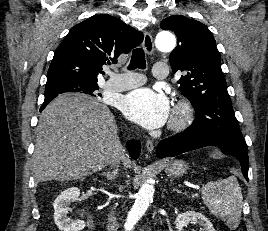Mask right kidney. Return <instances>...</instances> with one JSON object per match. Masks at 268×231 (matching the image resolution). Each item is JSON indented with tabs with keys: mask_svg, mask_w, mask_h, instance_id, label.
Listing matches in <instances>:
<instances>
[{
	"mask_svg": "<svg viewBox=\"0 0 268 231\" xmlns=\"http://www.w3.org/2000/svg\"><path fill=\"white\" fill-rule=\"evenodd\" d=\"M80 195V189L71 187L63 192L54 201V221L61 231H80L85 227V222L82 220L73 221L67 214L71 211L69 207L71 202L76 200Z\"/></svg>",
	"mask_w": 268,
	"mask_h": 231,
	"instance_id": "1",
	"label": "right kidney"
}]
</instances>
